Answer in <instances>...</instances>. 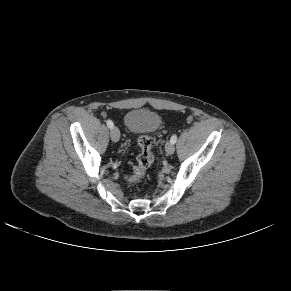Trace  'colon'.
Returning <instances> with one entry per match:
<instances>
[{
  "label": "colon",
  "mask_w": 291,
  "mask_h": 291,
  "mask_svg": "<svg viewBox=\"0 0 291 291\" xmlns=\"http://www.w3.org/2000/svg\"><path fill=\"white\" fill-rule=\"evenodd\" d=\"M153 145V137L148 135H143L139 137L138 146L140 148V153L137 156V162L132 172L125 177V180L128 184H136L144 178L147 169L152 165L154 161V156L152 153Z\"/></svg>",
  "instance_id": "obj_1"
}]
</instances>
